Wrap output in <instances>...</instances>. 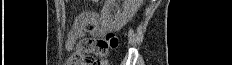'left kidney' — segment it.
<instances>
[{
    "label": "left kidney",
    "instance_id": "5707ae66",
    "mask_svg": "<svg viewBox=\"0 0 232 65\" xmlns=\"http://www.w3.org/2000/svg\"><path fill=\"white\" fill-rule=\"evenodd\" d=\"M123 10L115 17L111 14V7L115 0H106L101 11V25L109 32L120 30L137 12L141 0H123Z\"/></svg>",
    "mask_w": 232,
    "mask_h": 65
}]
</instances>
